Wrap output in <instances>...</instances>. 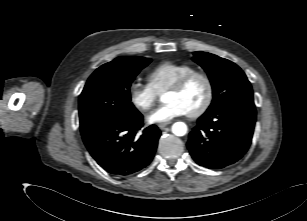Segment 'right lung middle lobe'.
Wrapping results in <instances>:
<instances>
[{
  "mask_svg": "<svg viewBox=\"0 0 307 221\" xmlns=\"http://www.w3.org/2000/svg\"><path fill=\"white\" fill-rule=\"evenodd\" d=\"M151 59L118 57L99 67L79 96L81 134L110 121H123L139 111L131 103L130 86Z\"/></svg>",
  "mask_w": 307,
  "mask_h": 221,
  "instance_id": "dd1d6c3e",
  "label": "right lung middle lobe"
}]
</instances>
